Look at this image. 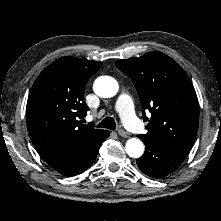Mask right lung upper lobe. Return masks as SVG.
<instances>
[{
	"label": "right lung upper lobe",
	"mask_w": 221,
	"mask_h": 221,
	"mask_svg": "<svg viewBox=\"0 0 221 221\" xmlns=\"http://www.w3.org/2000/svg\"><path fill=\"white\" fill-rule=\"evenodd\" d=\"M102 63L62 57L46 67L35 80L28 96L26 123L38 151L83 142L105 130L82 124L89 110L85 86Z\"/></svg>",
	"instance_id": "right-lung-upper-lobe-1"
}]
</instances>
